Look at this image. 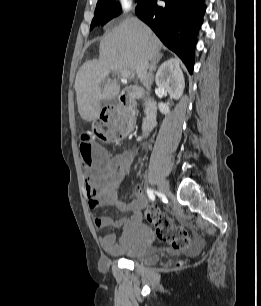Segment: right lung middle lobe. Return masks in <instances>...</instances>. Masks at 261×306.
Masks as SVG:
<instances>
[{
  "label": "right lung middle lobe",
  "mask_w": 261,
  "mask_h": 306,
  "mask_svg": "<svg viewBox=\"0 0 261 306\" xmlns=\"http://www.w3.org/2000/svg\"><path fill=\"white\" fill-rule=\"evenodd\" d=\"M139 3L143 0H137ZM121 13L119 3L115 0H98L90 30L97 25H104Z\"/></svg>",
  "instance_id": "dd1d6c3e"
}]
</instances>
